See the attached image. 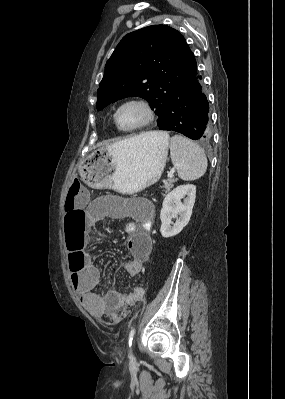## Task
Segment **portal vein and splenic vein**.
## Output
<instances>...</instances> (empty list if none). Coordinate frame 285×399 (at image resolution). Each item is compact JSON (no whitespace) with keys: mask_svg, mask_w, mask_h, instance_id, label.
I'll list each match as a JSON object with an SVG mask.
<instances>
[{"mask_svg":"<svg viewBox=\"0 0 285 399\" xmlns=\"http://www.w3.org/2000/svg\"><path fill=\"white\" fill-rule=\"evenodd\" d=\"M174 172H175V170H171V171L168 173V178H172V177L174 176Z\"/></svg>","mask_w":285,"mask_h":399,"instance_id":"1","label":"portal vein and splenic vein"}]
</instances>
